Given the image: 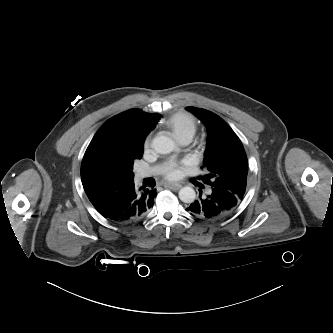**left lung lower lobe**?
I'll list each match as a JSON object with an SVG mask.
<instances>
[{"label": "left lung lower lobe", "mask_w": 333, "mask_h": 333, "mask_svg": "<svg viewBox=\"0 0 333 333\" xmlns=\"http://www.w3.org/2000/svg\"><path fill=\"white\" fill-rule=\"evenodd\" d=\"M195 200L187 210L191 215L201 218L203 220L215 221L223 218L232 212L239 204V201L230 191L210 187L209 194L202 196Z\"/></svg>", "instance_id": "obj_1"}]
</instances>
